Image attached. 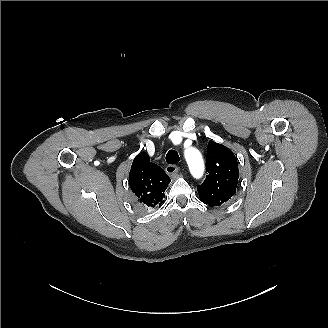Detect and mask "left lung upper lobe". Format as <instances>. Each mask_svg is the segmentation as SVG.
<instances>
[{
    "mask_svg": "<svg viewBox=\"0 0 328 328\" xmlns=\"http://www.w3.org/2000/svg\"><path fill=\"white\" fill-rule=\"evenodd\" d=\"M208 175L197 187L201 201L210 206H220L236 192L239 178L238 163L233 152L211 140L206 157Z\"/></svg>",
    "mask_w": 328,
    "mask_h": 328,
    "instance_id": "obj_1",
    "label": "left lung upper lobe"
}]
</instances>
